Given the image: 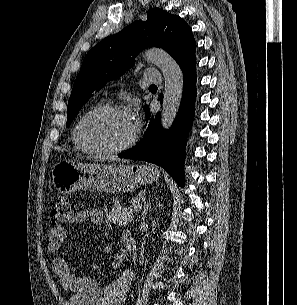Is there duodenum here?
<instances>
[{
	"mask_svg": "<svg viewBox=\"0 0 297 305\" xmlns=\"http://www.w3.org/2000/svg\"><path fill=\"white\" fill-rule=\"evenodd\" d=\"M124 246L126 250L132 251L133 250V237L130 233H126L123 237Z\"/></svg>",
	"mask_w": 297,
	"mask_h": 305,
	"instance_id": "410a0bca",
	"label": "duodenum"
}]
</instances>
